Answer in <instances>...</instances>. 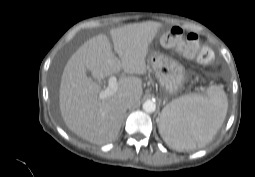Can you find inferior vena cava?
<instances>
[{
    "mask_svg": "<svg viewBox=\"0 0 255 177\" xmlns=\"http://www.w3.org/2000/svg\"><path fill=\"white\" fill-rule=\"evenodd\" d=\"M136 103L134 98H126L123 102V105L126 109L131 108Z\"/></svg>",
    "mask_w": 255,
    "mask_h": 177,
    "instance_id": "602c4592",
    "label": "inferior vena cava"
}]
</instances>
